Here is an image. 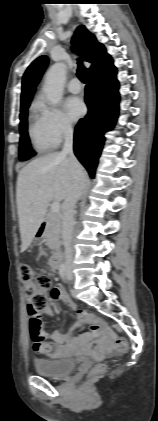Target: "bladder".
I'll use <instances>...</instances> for the list:
<instances>
[{
    "label": "bladder",
    "mask_w": 158,
    "mask_h": 421,
    "mask_svg": "<svg viewBox=\"0 0 158 421\" xmlns=\"http://www.w3.org/2000/svg\"><path fill=\"white\" fill-rule=\"evenodd\" d=\"M77 365L72 357H60L55 359H37L34 368L37 374L45 377H63L71 373Z\"/></svg>",
    "instance_id": "1"
}]
</instances>
